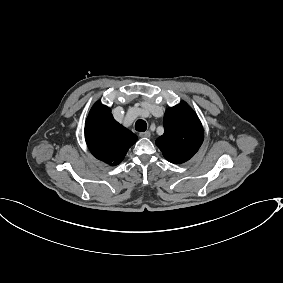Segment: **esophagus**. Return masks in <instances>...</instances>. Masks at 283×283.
<instances>
[{
    "label": "esophagus",
    "mask_w": 283,
    "mask_h": 283,
    "mask_svg": "<svg viewBox=\"0 0 283 283\" xmlns=\"http://www.w3.org/2000/svg\"><path fill=\"white\" fill-rule=\"evenodd\" d=\"M142 138H149L151 136V133L149 131H145L139 134Z\"/></svg>",
    "instance_id": "esophagus-1"
}]
</instances>
